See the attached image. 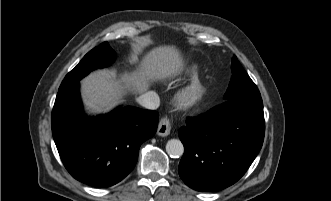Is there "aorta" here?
I'll use <instances>...</instances> for the list:
<instances>
[{
    "mask_svg": "<svg viewBox=\"0 0 331 201\" xmlns=\"http://www.w3.org/2000/svg\"><path fill=\"white\" fill-rule=\"evenodd\" d=\"M166 152L170 157L178 158L184 153V146L178 139H171L166 144Z\"/></svg>",
    "mask_w": 331,
    "mask_h": 201,
    "instance_id": "762f6f07",
    "label": "aorta"
}]
</instances>
